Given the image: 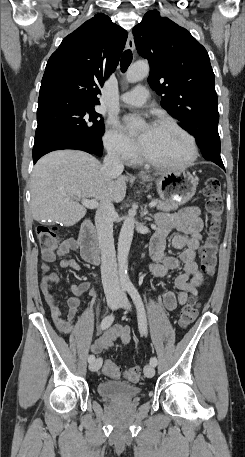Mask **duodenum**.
<instances>
[{
  "label": "duodenum",
  "mask_w": 245,
  "mask_h": 457,
  "mask_svg": "<svg viewBox=\"0 0 245 457\" xmlns=\"http://www.w3.org/2000/svg\"><path fill=\"white\" fill-rule=\"evenodd\" d=\"M78 242L82 258L86 262L94 265L101 262V254L96 241L94 224L91 219H86L83 222Z\"/></svg>",
  "instance_id": "duodenum-1"
}]
</instances>
